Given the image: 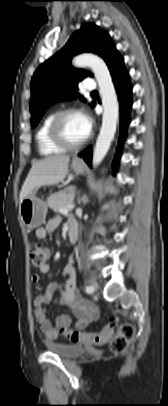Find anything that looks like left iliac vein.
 Returning <instances> with one entry per match:
<instances>
[{
    "label": "left iliac vein",
    "instance_id": "obj_1",
    "mask_svg": "<svg viewBox=\"0 0 168 406\" xmlns=\"http://www.w3.org/2000/svg\"><path fill=\"white\" fill-rule=\"evenodd\" d=\"M93 288H94V290H97V289H98V284H97V283H94V284H93Z\"/></svg>",
    "mask_w": 168,
    "mask_h": 406
}]
</instances>
